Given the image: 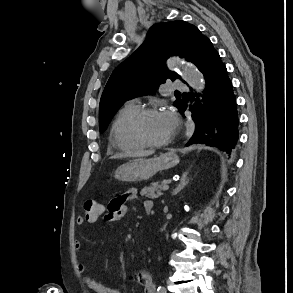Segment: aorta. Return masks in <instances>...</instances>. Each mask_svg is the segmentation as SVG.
<instances>
[{"instance_id":"aorta-1","label":"aorta","mask_w":293,"mask_h":293,"mask_svg":"<svg viewBox=\"0 0 293 293\" xmlns=\"http://www.w3.org/2000/svg\"><path fill=\"white\" fill-rule=\"evenodd\" d=\"M169 65L172 68H177L180 71L182 78L198 93H201L204 90V79L195 66L191 64H185L175 58H172L169 61Z\"/></svg>"}]
</instances>
